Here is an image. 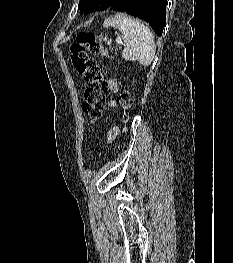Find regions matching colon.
<instances>
[{
  "label": "colon",
  "mask_w": 233,
  "mask_h": 263,
  "mask_svg": "<svg viewBox=\"0 0 233 263\" xmlns=\"http://www.w3.org/2000/svg\"><path fill=\"white\" fill-rule=\"evenodd\" d=\"M71 62L74 68L85 80L84 101L81 108L90 121L98 120L105 109V98L107 83L105 81L106 71L98 65L92 55H101L112 59L107 49L102 45L98 35L90 31H81L76 40L70 46ZM118 104L123 110V122H128L127 110L132 106L131 94L123 90L118 95ZM124 132L127 131L125 126Z\"/></svg>",
  "instance_id": "obj_1"
}]
</instances>
